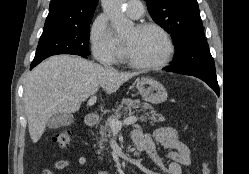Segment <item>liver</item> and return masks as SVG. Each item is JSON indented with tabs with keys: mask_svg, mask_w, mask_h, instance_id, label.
<instances>
[{
	"mask_svg": "<svg viewBox=\"0 0 249 174\" xmlns=\"http://www.w3.org/2000/svg\"><path fill=\"white\" fill-rule=\"evenodd\" d=\"M139 72H118L81 57L56 55L40 63L26 77L25 113L33 143L57 113H75L100 87L112 94Z\"/></svg>",
	"mask_w": 249,
	"mask_h": 174,
	"instance_id": "liver-1",
	"label": "liver"
}]
</instances>
